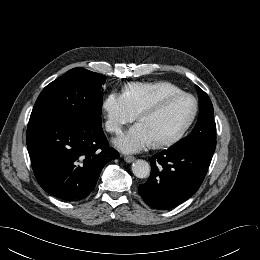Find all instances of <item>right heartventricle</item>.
<instances>
[{
	"label": "right heart ventricle",
	"mask_w": 260,
	"mask_h": 260,
	"mask_svg": "<svg viewBox=\"0 0 260 260\" xmlns=\"http://www.w3.org/2000/svg\"><path fill=\"white\" fill-rule=\"evenodd\" d=\"M177 91H180V89L174 84L159 81L129 84L122 94L131 110L137 115L161 96Z\"/></svg>",
	"instance_id": "e07e8e85"
}]
</instances>
